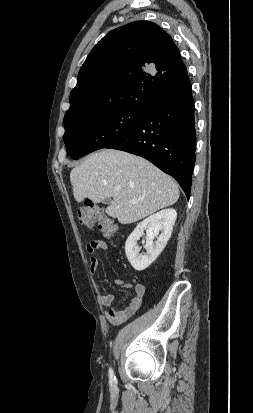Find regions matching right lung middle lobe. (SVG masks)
Segmentation results:
<instances>
[{
  "mask_svg": "<svg viewBox=\"0 0 253 413\" xmlns=\"http://www.w3.org/2000/svg\"><path fill=\"white\" fill-rule=\"evenodd\" d=\"M143 110L114 109L64 124L67 154L76 160L115 143L140 122Z\"/></svg>",
  "mask_w": 253,
  "mask_h": 413,
  "instance_id": "1",
  "label": "right lung middle lobe"
}]
</instances>
